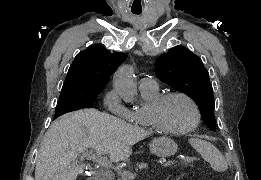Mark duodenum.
I'll return each instance as SVG.
<instances>
[{
	"mask_svg": "<svg viewBox=\"0 0 261 180\" xmlns=\"http://www.w3.org/2000/svg\"><path fill=\"white\" fill-rule=\"evenodd\" d=\"M88 180H105V177H88Z\"/></svg>",
	"mask_w": 261,
	"mask_h": 180,
	"instance_id": "duodenum-1",
	"label": "duodenum"
}]
</instances>
